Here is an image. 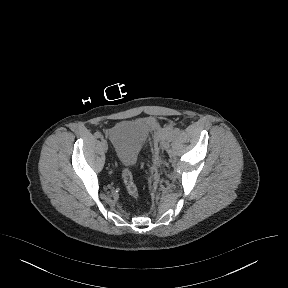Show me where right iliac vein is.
I'll use <instances>...</instances> for the list:
<instances>
[{"label":"right iliac vein","instance_id":"1","mask_svg":"<svg viewBox=\"0 0 288 288\" xmlns=\"http://www.w3.org/2000/svg\"><path fill=\"white\" fill-rule=\"evenodd\" d=\"M101 145H102L103 150H104V151H107L108 145H107V142H106L105 140H102V141H101Z\"/></svg>","mask_w":288,"mask_h":288}]
</instances>
